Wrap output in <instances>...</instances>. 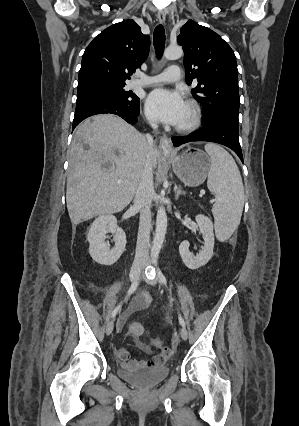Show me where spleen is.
Wrapping results in <instances>:
<instances>
[{
    "instance_id": "spleen-1",
    "label": "spleen",
    "mask_w": 299,
    "mask_h": 426,
    "mask_svg": "<svg viewBox=\"0 0 299 426\" xmlns=\"http://www.w3.org/2000/svg\"><path fill=\"white\" fill-rule=\"evenodd\" d=\"M205 151L211 159L208 189L215 194L212 208L215 232L219 240L231 237L238 227L244 206V187L233 157L216 144H206Z\"/></svg>"
}]
</instances>
